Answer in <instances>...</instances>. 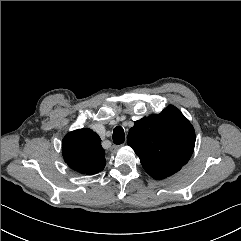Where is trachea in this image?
<instances>
[{"label":"trachea","mask_w":241,"mask_h":241,"mask_svg":"<svg viewBox=\"0 0 241 241\" xmlns=\"http://www.w3.org/2000/svg\"><path fill=\"white\" fill-rule=\"evenodd\" d=\"M125 140L124 130L121 126H117L113 131V142L115 144H122Z\"/></svg>","instance_id":"1"}]
</instances>
